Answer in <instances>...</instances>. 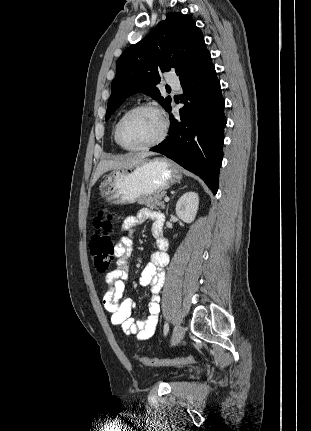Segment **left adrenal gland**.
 Masks as SVG:
<instances>
[{
    "instance_id": "a2214340",
    "label": "left adrenal gland",
    "mask_w": 311,
    "mask_h": 431,
    "mask_svg": "<svg viewBox=\"0 0 311 431\" xmlns=\"http://www.w3.org/2000/svg\"><path fill=\"white\" fill-rule=\"evenodd\" d=\"M184 188H187V186H184ZM184 188H180V190H184ZM166 214L168 216V206H167Z\"/></svg>"
}]
</instances>
